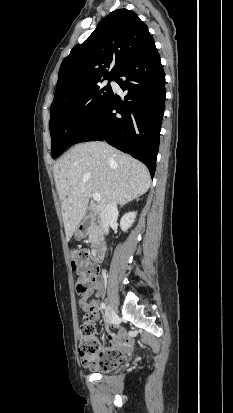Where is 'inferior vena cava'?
Instances as JSON below:
<instances>
[{
  "label": "inferior vena cava",
  "mask_w": 233,
  "mask_h": 413,
  "mask_svg": "<svg viewBox=\"0 0 233 413\" xmlns=\"http://www.w3.org/2000/svg\"><path fill=\"white\" fill-rule=\"evenodd\" d=\"M117 203L115 201L109 202L105 208L102 210L100 217H101V224L105 233L109 231V223L112 216L117 213Z\"/></svg>",
  "instance_id": "inferior-vena-cava-1"
}]
</instances>
